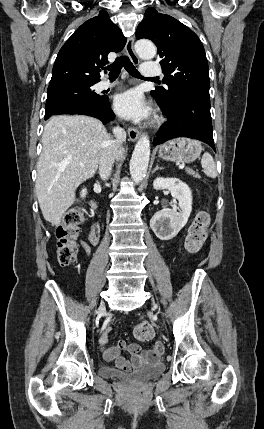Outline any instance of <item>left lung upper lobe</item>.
I'll return each mask as SVG.
<instances>
[{
  "label": "left lung upper lobe",
  "mask_w": 264,
  "mask_h": 429,
  "mask_svg": "<svg viewBox=\"0 0 264 429\" xmlns=\"http://www.w3.org/2000/svg\"><path fill=\"white\" fill-rule=\"evenodd\" d=\"M137 39L152 40L158 49L163 83L152 96L161 104H169L179 91L209 97V70L204 47L197 35L175 18L148 8L138 25Z\"/></svg>",
  "instance_id": "left-lung-upper-lobe-1"
}]
</instances>
